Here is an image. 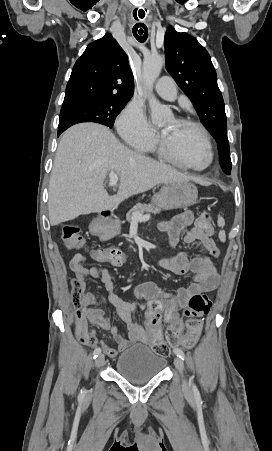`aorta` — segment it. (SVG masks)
I'll list each match as a JSON object with an SVG mask.
<instances>
[{
  "mask_svg": "<svg viewBox=\"0 0 272 451\" xmlns=\"http://www.w3.org/2000/svg\"><path fill=\"white\" fill-rule=\"evenodd\" d=\"M164 64L165 60L163 56H159V54L148 56V58H144L143 62V78L150 92L149 106L153 124H160V122H163L164 118H166L164 106H161L160 102H158V100H156V98H154L151 94L152 86L155 80H157Z\"/></svg>",
  "mask_w": 272,
  "mask_h": 451,
  "instance_id": "762f6f07",
  "label": "aorta"
}]
</instances>
